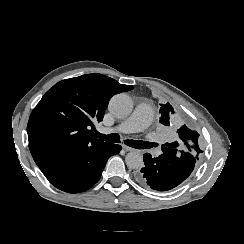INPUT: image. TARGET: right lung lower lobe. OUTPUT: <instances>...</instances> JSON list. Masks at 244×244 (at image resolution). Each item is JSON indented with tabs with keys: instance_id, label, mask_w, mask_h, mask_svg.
Listing matches in <instances>:
<instances>
[{
	"instance_id": "right-lung-lower-lobe-1",
	"label": "right lung lower lobe",
	"mask_w": 244,
	"mask_h": 244,
	"mask_svg": "<svg viewBox=\"0 0 244 244\" xmlns=\"http://www.w3.org/2000/svg\"><path fill=\"white\" fill-rule=\"evenodd\" d=\"M120 150L117 144H98L41 164L39 168L58 189L68 193L83 192L97 183L109 157Z\"/></svg>"
}]
</instances>
